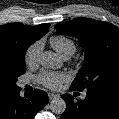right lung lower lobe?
<instances>
[{
  "instance_id": "obj_1",
  "label": "right lung lower lobe",
  "mask_w": 119,
  "mask_h": 119,
  "mask_svg": "<svg viewBox=\"0 0 119 119\" xmlns=\"http://www.w3.org/2000/svg\"><path fill=\"white\" fill-rule=\"evenodd\" d=\"M48 103V95L42 90H34L20 96V88L0 102V119H33Z\"/></svg>"
}]
</instances>
